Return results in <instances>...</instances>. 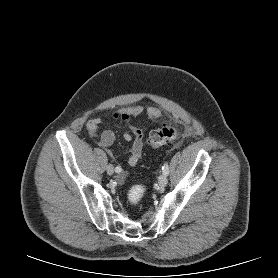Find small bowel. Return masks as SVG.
I'll list each match as a JSON object with an SVG mask.
<instances>
[{"label": "small bowel", "mask_w": 278, "mask_h": 278, "mask_svg": "<svg viewBox=\"0 0 278 278\" xmlns=\"http://www.w3.org/2000/svg\"><path fill=\"white\" fill-rule=\"evenodd\" d=\"M144 112L150 120H154L162 116V112L160 109L156 107H149L145 110L142 106L126 107L115 110L109 114V117L111 119H120L127 124L129 131L123 135V139L126 142H132L130 154L128 157V164L130 166H136L139 163L143 154L144 144V132L140 128L134 126L131 123V119L141 116ZM101 121L102 120L100 118L91 119L88 122V129L91 132L97 130V127L101 123ZM114 141L115 134L112 130H104L102 132L100 137V145L106 149L111 157H113V153L110 150V147L114 143ZM118 178L119 180L123 181L125 179V176L121 174Z\"/></svg>", "instance_id": "1"}]
</instances>
